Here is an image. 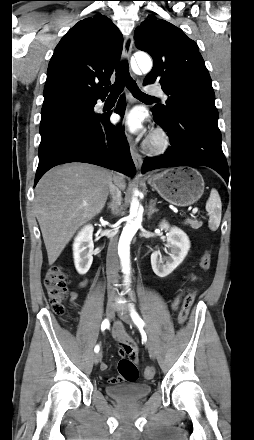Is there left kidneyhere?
<instances>
[{
  "label": "left kidney",
  "instance_id": "obj_1",
  "mask_svg": "<svg viewBox=\"0 0 254 440\" xmlns=\"http://www.w3.org/2000/svg\"><path fill=\"white\" fill-rule=\"evenodd\" d=\"M160 227L169 230L166 244L169 254L161 258L160 251H154L151 254V266L157 276L166 277L183 262L190 249V241L186 233L177 227L170 228L165 221Z\"/></svg>",
  "mask_w": 254,
  "mask_h": 440
}]
</instances>
